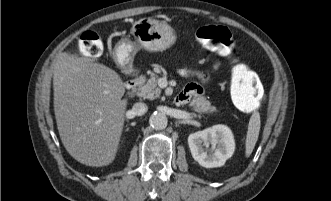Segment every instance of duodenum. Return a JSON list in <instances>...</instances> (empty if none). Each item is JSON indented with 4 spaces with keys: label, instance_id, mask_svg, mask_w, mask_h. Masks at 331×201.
Instances as JSON below:
<instances>
[{
    "label": "duodenum",
    "instance_id": "duodenum-1",
    "mask_svg": "<svg viewBox=\"0 0 331 201\" xmlns=\"http://www.w3.org/2000/svg\"><path fill=\"white\" fill-rule=\"evenodd\" d=\"M136 85H137V79L135 77H131L125 82V87L128 90L134 89Z\"/></svg>",
    "mask_w": 331,
    "mask_h": 201
}]
</instances>
